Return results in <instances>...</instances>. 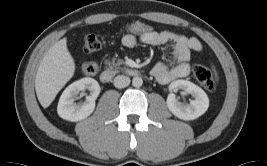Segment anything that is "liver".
<instances>
[{
	"mask_svg": "<svg viewBox=\"0 0 267 166\" xmlns=\"http://www.w3.org/2000/svg\"><path fill=\"white\" fill-rule=\"evenodd\" d=\"M74 59L67 48V39L56 42L44 55L35 78V91L43 108H47L58 92L73 77Z\"/></svg>",
	"mask_w": 267,
	"mask_h": 166,
	"instance_id": "6515ba94",
	"label": "liver"
}]
</instances>
